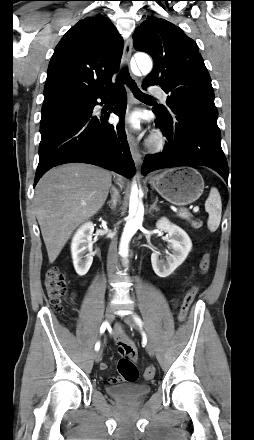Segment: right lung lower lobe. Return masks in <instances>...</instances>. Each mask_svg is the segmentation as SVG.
Here are the masks:
<instances>
[{
    "label": "right lung lower lobe",
    "mask_w": 254,
    "mask_h": 440,
    "mask_svg": "<svg viewBox=\"0 0 254 440\" xmlns=\"http://www.w3.org/2000/svg\"><path fill=\"white\" fill-rule=\"evenodd\" d=\"M121 92L115 108L111 110L120 117L118 125L108 124V115L93 114L97 99L104 101L108 93L75 94L83 105L68 111L42 134L34 187L49 169L71 162L97 165L127 178L134 175L135 166L123 124L127 100L123 87Z\"/></svg>",
    "instance_id": "1"
}]
</instances>
